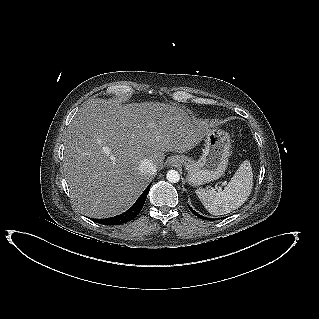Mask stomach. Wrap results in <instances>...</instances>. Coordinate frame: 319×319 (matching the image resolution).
<instances>
[{
    "label": "stomach",
    "mask_w": 319,
    "mask_h": 319,
    "mask_svg": "<svg viewBox=\"0 0 319 319\" xmlns=\"http://www.w3.org/2000/svg\"><path fill=\"white\" fill-rule=\"evenodd\" d=\"M205 148L199 160L179 156L188 172L187 181L199 186L219 179L228 166L230 135L224 130L209 128L205 133Z\"/></svg>",
    "instance_id": "0dacf381"
}]
</instances>
